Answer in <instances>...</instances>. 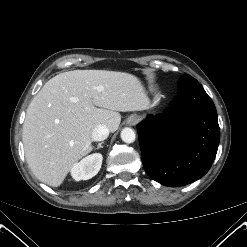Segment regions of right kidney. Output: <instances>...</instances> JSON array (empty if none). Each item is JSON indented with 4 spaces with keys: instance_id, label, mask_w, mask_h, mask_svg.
I'll list each match as a JSON object with an SVG mask.
<instances>
[{
    "instance_id": "right-kidney-1",
    "label": "right kidney",
    "mask_w": 247,
    "mask_h": 247,
    "mask_svg": "<svg viewBox=\"0 0 247 247\" xmlns=\"http://www.w3.org/2000/svg\"><path fill=\"white\" fill-rule=\"evenodd\" d=\"M103 157L100 153H94L75 163L71 169L74 180H88L94 177L100 170Z\"/></svg>"
}]
</instances>
